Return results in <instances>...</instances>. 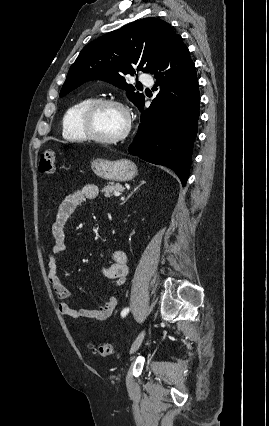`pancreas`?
I'll list each match as a JSON object with an SVG mask.
<instances>
[{
    "label": "pancreas",
    "mask_w": 269,
    "mask_h": 426,
    "mask_svg": "<svg viewBox=\"0 0 269 426\" xmlns=\"http://www.w3.org/2000/svg\"><path fill=\"white\" fill-rule=\"evenodd\" d=\"M123 187L121 184L118 183H108L104 188L101 190V192L104 193V196L106 198H110L113 196V194L117 191H122Z\"/></svg>",
    "instance_id": "obj_1"
}]
</instances>
